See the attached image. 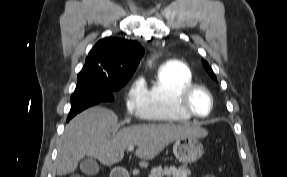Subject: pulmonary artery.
Returning <instances> with one entry per match:
<instances>
[{
  "mask_svg": "<svg viewBox=\"0 0 287 177\" xmlns=\"http://www.w3.org/2000/svg\"><path fill=\"white\" fill-rule=\"evenodd\" d=\"M175 62H176L175 59H169V60H167V63H175Z\"/></svg>",
  "mask_w": 287,
  "mask_h": 177,
  "instance_id": "obj_1",
  "label": "pulmonary artery"
}]
</instances>
